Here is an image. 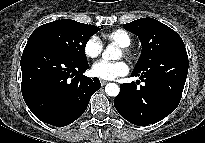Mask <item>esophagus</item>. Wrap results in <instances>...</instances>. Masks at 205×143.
I'll return each instance as SVG.
<instances>
[{"instance_id":"obj_1","label":"esophagus","mask_w":205,"mask_h":143,"mask_svg":"<svg viewBox=\"0 0 205 143\" xmlns=\"http://www.w3.org/2000/svg\"><path fill=\"white\" fill-rule=\"evenodd\" d=\"M102 86L106 85L108 82L106 80H100Z\"/></svg>"}]
</instances>
